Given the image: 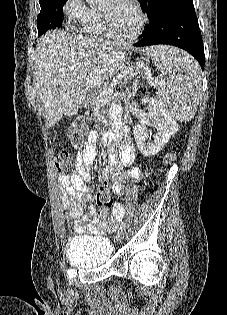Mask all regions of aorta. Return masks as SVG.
I'll list each match as a JSON object with an SVG mask.
<instances>
[{"label":"aorta","instance_id":"1","mask_svg":"<svg viewBox=\"0 0 227 315\" xmlns=\"http://www.w3.org/2000/svg\"><path fill=\"white\" fill-rule=\"evenodd\" d=\"M105 0H86V2L90 5L102 4Z\"/></svg>","mask_w":227,"mask_h":315}]
</instances>
